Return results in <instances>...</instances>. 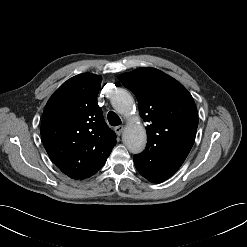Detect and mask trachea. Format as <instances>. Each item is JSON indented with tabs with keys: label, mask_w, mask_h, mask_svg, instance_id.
Instances as JSON below:
<instances>
[{
	"label": "trachea",
	"mask_w": 247,
	"mask_h": 247,
	"mask_svg": "<svg viewBox=\"0 0 247 247\" xmlns=\"http://www.w3.org/2000/svg\"><path fill=\"white\" fill-rule=\"evenodd\" d=\"M107 119L109 121V124L111 126H118L121 124V119L119 118V116L113 112V111H110L107 115Z\"/></svg>",
	"instance_id": "3493384b"
}]
</instances>
